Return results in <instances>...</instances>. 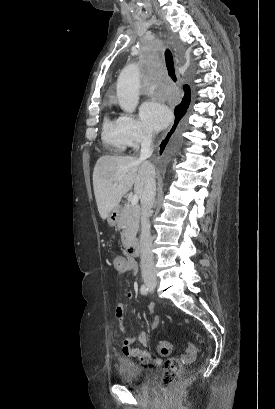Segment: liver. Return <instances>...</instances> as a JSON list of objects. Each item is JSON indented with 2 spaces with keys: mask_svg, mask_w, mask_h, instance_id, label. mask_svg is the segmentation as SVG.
Returning a JSON list of instances; mask_svg holds the SVG:
<instances>
[{
  "mask_svg": "<svg viewBox=\"0 0 275 409\" xmlns=\"http://www.w3.org/2000/svg\"><path fill=\"white\" fill-rule=\"evenodd\" d=\"M151 162L137 156H100L93 170V186L101 219H107L114 207L130 190L142 198Z\"/></svg>",
  "mask_w": 275,
  "mask_h": 409,
  "instance_id": "obj_1",
  "label": "liver"
}]
</instances>
